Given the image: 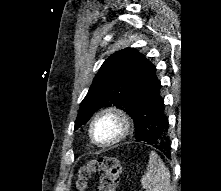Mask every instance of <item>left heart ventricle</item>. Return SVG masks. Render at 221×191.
Segmentation results:
<instances>
[{
    "mask_svg": "<svg viewBox=\"0 0 221 191\" xmlns=\"http://www.w3.org/2000/svg\"><path fill=\"white\" fill-rule=\"evenodd\" d=\"M118 131V122L114 118L105 117L95 125L94 136L98 142L104 143L113 139Z\"/></svg>",
    "mask_w": 221,
    "mask_h": 191,
    "instance_id": "b2bd125f",
    "label": "left heart ventricle"
}]
</instances>
